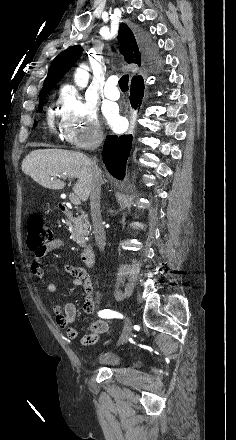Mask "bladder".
Segmentation results:
<instances>
[{"mask_svg":"<svg viewBox=\"0 0 236 440\" xmlns=\"http://www.w3.org/2000/svg\"><path fill=\"white\" fill-rule=\"evenodd\" d=\"M92 362L97 365L114 367L120 363V356L112 349H104L93 355Z\"/></svg>","mask_w":236,"mask_h":440,"instance_id":"31cf9c89","label":"bladder"}]
</instances>
